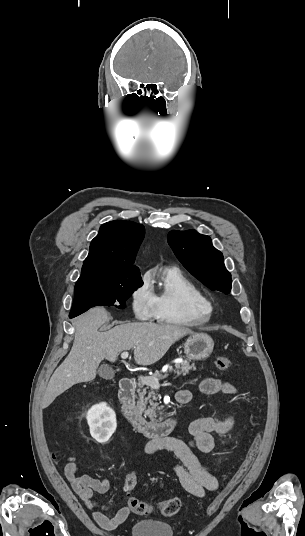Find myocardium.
Listing matches in <instances>:
<instances>
[{
    "instance_id": "f54148a6",
    "label": "myocardium",
    "mask_w": 305,
    "mask_h": 536,
    "mask_svg": "<svg viewBox=\"0 0 305 536\" xmlns=\"http://www.w3.org/2000/svg\"><path fill=\"white\" fill-rule=\"evenodd\" d=\"M215 308H216L215 305L211 301L208 300V310L211 316L213 315Z\"/></svg>"
}]
</instances>
